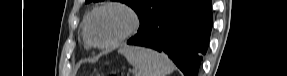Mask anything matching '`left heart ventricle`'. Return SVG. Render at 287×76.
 Returning <instances> with one entry per match:
<instances>
[{
  "label": "left heart ventricle",
  "instance_id": "left-heart-ventricle-1",
  "mask_svg": "<svg viewBox=\"0 0 287 76\" xmlns=\"http://www.w3.org/2000/svg\"><path fill=\"white\" fill-rule=\"evenodd\" d=\"M125 13L115 9L104 10L96 14L90 22L89 33L92 40L106 43L117 37L128 25Z\"/></svg>",
  "mask_w": 287,
  "mask_h": 76
}]
</instances>
